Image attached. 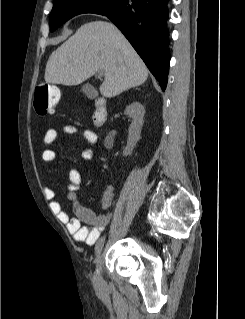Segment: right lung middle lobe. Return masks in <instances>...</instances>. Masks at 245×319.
I'll use <instances>...</instances> for the list:
<instances>
[{
	"instance_id": "1",
	"label": "right lung middle lobe",
	"mask_w": 245,
	"mask_h": 319,
	"mask_svg": "<svg viewBox=\"0 0 245 319\" xmlns=\"http://www.w3.org/2000/svg\"><path fill=\"white\" fill-rule=\"evenodd\" d=\"M123 0H54L50 13V31H55L64 22L81 13L107 15Z\"/></svg>"
}]
</instances>
